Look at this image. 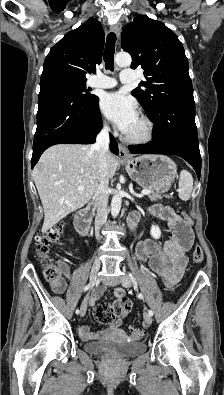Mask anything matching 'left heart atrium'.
Segmentation results:
<instances>
[{
    "label": "left heart atrium",
    "instance_id": "1",
    "mask_svg": "<svg viewBox=\"0 0 224 395\" xmlns=\"http://www.w3.org/2000/svg\"><path fill=\"white\" fill-rule=\"evenodd\" d=\"M100 108L104 115L123 133H127L138 119L134 100L123 93L112 92L103 95Z\"/></svg>",
    "mask_w": 224,
    "mask_h": 395
}]
</instances>
